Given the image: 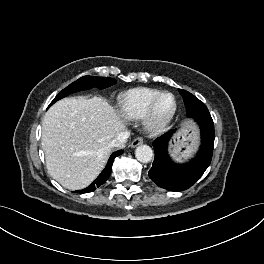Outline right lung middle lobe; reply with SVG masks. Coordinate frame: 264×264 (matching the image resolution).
Listing matches in <instances>:
<instances>
[{"label":"right lung middle lobe","mask_w":264,"mask_h":264,"mask_svg":"<svg viewBox=\"0 0 264 264\" xmlns=\"http://www.w3.org/2000/svg\"><path fill=\"white\" fill-rule=\"evenodd\" d=\"M116 83V80L108 77H95V76H84L76 80L65 89H63L51 102L50 105L55 103L57 100L77 91L87 90L93 87L100 89L107 88Z\"/></svg>","instance_id":"obj_1"}]
</instances>
